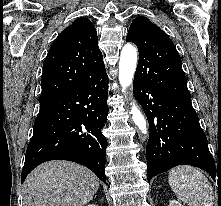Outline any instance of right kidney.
I'll return each mask as SVG.
<instances>
[{"label": "right kidney", "instance_id": "obj_1", "mask_svg": "<svg viewBox=\"0 0 221 206\" xmlns=\"http://www.w3.org/2000/svg\"><path fill=\"white\" fill-rule=\"evenodd\" d=\"M87 206H97V205H95V204H88Z\"/></svg>", "mask_w": 221, "mask_h": 206}]
</instances>
